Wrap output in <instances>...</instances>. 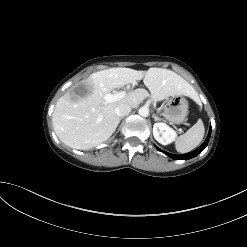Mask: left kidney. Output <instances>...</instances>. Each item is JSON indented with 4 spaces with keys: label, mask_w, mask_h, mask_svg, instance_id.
Wrapping results in <instances>:
<instances>
[{
    "label": "left kidney",
    "mask_w": 247,
    "mask_h": 247,
    "mask_svg": "<svg viewBox=\"0 0 247 247\" xmlns=\"http://www.w3.org/2000/svg\"><path fill=\"white\" fill-rule=\"evenodd\" d=\"M153 136L162 145L172 143L176 138V132L165 123H155Z\"/></svg>",
    "instance_id": "1"
}]
</instances>
